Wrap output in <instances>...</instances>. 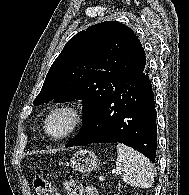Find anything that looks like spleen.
<instances>
[{
	"label": "spleen",
	"mask_w": 189,
	"mask_h": 195,
	"mask_svg": "<svg viewBox=\"0 0 189 195\" xmlns=\"http://www.w3.org/2000/svg\"><path fill=\"white\" fill-rule=\"evenodd\" d=\"M116 169L126 184L148 189L154 182V173L150 161L139 152L125 145H117Z\"/></svg>",
	"instance_id": "obj_1"
}]
</instances>
